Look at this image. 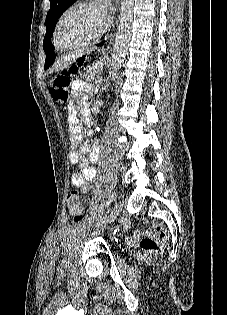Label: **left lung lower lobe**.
Segmentation results:
<instances>
[{
    "label": "left lung lower lobe",
    "mask_w": 227,
    "mask_h": 315,
    "mask_svg": "<svg viewBox=\"0 0 227 315\" xmlns=\"http://www.w3.org/2000/svg\"><path fill=\"white\" fill-rule=\"evenodd\" d=\"M105 43V41H102L99 44H96L97 46H102ZM55 60V52L54 48L50 46L48 48V51L46 52V63H45V69L49 68V66L54 62Z\"/></svg>",
    "instance_id": "left-lung-lower-lobe-1"
}]
</instances>
